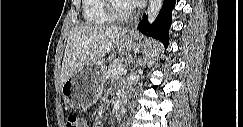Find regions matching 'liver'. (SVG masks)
<instances>
[{"mask_svg":"<svg viewBox=\"0 0 243 127\" xmlns=\"http://www.w3.org/2000/svg\"><path fill=\"white\" fill-rule=\"evenodd\" d=\"M127 32V28L75 26L68 36L60 72V84L62 85L85 65L102 60Z\"/></svg>","mask_w":243,"mask_h":127,"instance_id":"1","label":"liver"}]
</instances>
